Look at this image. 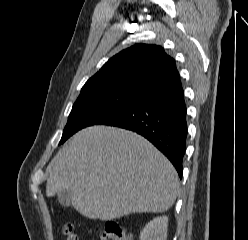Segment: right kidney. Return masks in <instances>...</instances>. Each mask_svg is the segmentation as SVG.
Segmentation results:
<instances>
[{
  "mask_svg": "<svg viewBox=\"0 0 248 240\" xmlns=\"http://www.w3.org/2000/svg\"><path fill=\"white\" fill-rule=\"evenodd\" d=\"M167 227V216L156 217L141 231L140 240H166Z\"/></svg>",
  "mask_w": 248,
  "mask_h": 240,
  "instance_id": "obj_1",
  "label": "right kidney"
}]
</instances>
